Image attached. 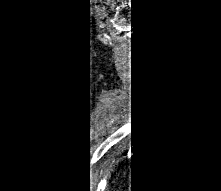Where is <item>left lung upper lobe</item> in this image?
Returning <instances> with one entry per match:
<instances>
[{
	"label": "left lung upper lobe",
	"mask_w": 221,
	"mask_h": 191,
	"mask_svg": "<svg viewBox=\"0 0 221 191\" xmlns=\"http://www.w3.org/2000/svg\"><path fill=\"white\" fill-rule=\"evenodd\" d=\"M127 141V140H126ZM126 141H123V142H121V145H124V144H126Z\"/></svg>",
	"instance_id": "5c2ea615"
}]
</instances>
